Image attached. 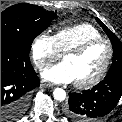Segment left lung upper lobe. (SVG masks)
Masks as SVG:
<instances>
[{
  "label": "left lung upper lobe",
  "instance_id": "1",
  "mask_svg": "<svg viewBox=\"0 0 122 122\" xmlns=\"http://www.w3.org/2000/svg\"><path fill=\"white\" fill-rule=\"evenodd\" d=\"M96 21L100 24V26L103 28V30L106 32L108 37L111 40L112 46H113V62L112 65L108 71V73L115 72L117 70H122V43L117 38V36L111 32L102 22L100 19L96 18Z\"/></svg>",
  "mask_w": 122,
  "mask_h": 122
}]
</instances>
